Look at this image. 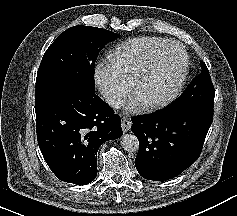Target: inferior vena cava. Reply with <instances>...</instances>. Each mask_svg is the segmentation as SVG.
I'll return each mask as SVG.
<instances>
[{"mask_svg": "<svg viewBox=\"0 0 237 216\" xmlns=\"http://www.w3.org/2000/svg\"><path fill=\"white\" fill-rule=\"evenodd\" d=\"M101 95L103 96L104 101L114 109H120L126 105L124 95L111 88L101 90Z\"/></svg>", "mask_w": 237, "mask_h": 216, "instance_id": "obj_1", "label": "inferior vena cava"}]
</instances>
